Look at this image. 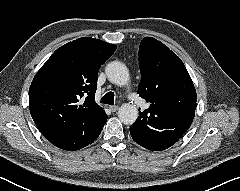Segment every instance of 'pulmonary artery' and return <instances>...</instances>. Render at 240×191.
<instances>
[{
  "label": "pulmonary artery",
  "instance_id": "pulmonary-artery-1",
  "mask_svg": "<svg viewBox=\"0 0 240 191\" xmlns=\"http://www.w3.org/2000/svg\"><path fill=\"white\" fill-rule=\"evenodd\" d=\"M140 101H141V99L138 98V97H135V98L132 99V103H133L135 106H138L139 103H140Z\"/></svg>",
  "mask_w": 240,
  "mask_h": 191
}]
</instances>
